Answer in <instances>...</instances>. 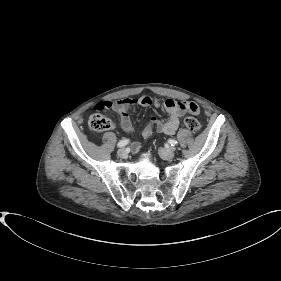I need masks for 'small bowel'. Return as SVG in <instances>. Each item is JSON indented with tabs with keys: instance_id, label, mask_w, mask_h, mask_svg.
Listing matches in <instances>:
<instances>
[{
	"instance_id": "small-bowel-1",
	"label": "small bowel",
	"mask_w": 281,
	"mask_h": 281,
	"mask_svg": "<svg viewBox=\"0 0 281 281\" xmlns=\"http://www.w3.org/2000/svg\"><path fill=\"white\" fill-rule=\"evenodd\" d=\"M191 102L175 101L173 99H167L162 104L158 101H154L150 96L143 95L140 98H124L115 101H102L95 104L94 109L96 111H102L104 109H111L120 115V126L125 133H131L133 126L128 117L127 112L136 109L138 106L149 107L155 106L159 108L162 106L168 114L166 121H161L157 117L151 118L150 124H148L143 132L142 136L144 139L150 138L153 134V126L160 133L166 135H173L180 122V118L186 111H189L188 104ZM192 113V112H191ZM134 153H138L141 150V143L135 142L132 145Z\"/></svg>"
}]
</instances>
